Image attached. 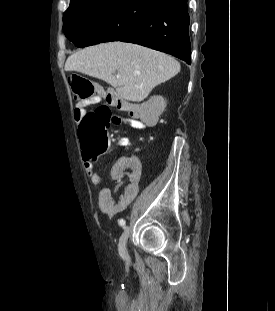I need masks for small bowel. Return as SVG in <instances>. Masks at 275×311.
I'll list each match as a JSON object with an SVG mask.
<instances>
[{"instance_id":"1","label":"small bowel","mask_w":275,"mask_h":311,"mask_svg":"<svg viewBox=\"0 0 275 311\" xmlns=\"http://www.w3.org/2000/svg\"><path fill=\"white\" fill-rule=\"evenodd\" d=\"M93 104L79 103L74 110V119L77 123H80L83 115L86 113L85 108ZM125 110H129L131 115L134 110L130 107L129 103L124 102L120 104ZM125 124L130 125L136 129H147L151 123H147L138 120L134 117L125 119ZM116 142L124 149H128L130 145V139L126 136H119L116 138ZM128 155H122L121 160H114L113 169L108 170V175L113 176L114 180H133L129 183L123 195L119 198H114V194H117V187H101L99 191L98 206H96V213H103L104 216H119L120 212L124 211L128 204L137 196L139 187L136 180H141L142 171H144V164H139L137 155H131L129 151ZM82 158L84 161V169L89 176L92 185L97 186L102 181V176L96 172L97 158L89 157L86 152H83Z\"/></svg>"}]
</instances>
